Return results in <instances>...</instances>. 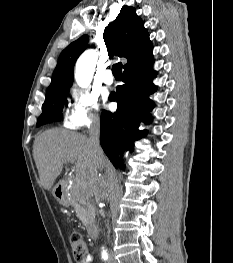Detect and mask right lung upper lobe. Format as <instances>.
<instances>
[{"label":"right lung upper lobe","mask_w":233,"mask_h":263,"mask_svg":"<svg viewBox=\"0 0 233 263\" xmlns=\"http://www.w3.org/2000/svg\"><path fill=\"white\" fill-rule=\"evenodd\" d=\"M108 54L125 57L128 62L124 69L153 59L152 43L144 23L136 14L135 8L123 6L116 20L109 24L103 33ZM88 36L84 35L66 47L59 56L47 93L69 89L73 82L74 64L86 49Z\"/></svg>","instance_id":"right-lung-upper-lobe-1"}]
</instances>
